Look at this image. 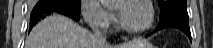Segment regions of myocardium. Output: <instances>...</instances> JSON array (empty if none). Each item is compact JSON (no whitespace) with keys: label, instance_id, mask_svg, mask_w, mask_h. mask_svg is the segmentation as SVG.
I'll return each instance as SVG.
<instances>
[{"label":"myocardium","instance_id":"f54148a6","mask_svg":"<svg viewBox=\"0 0 213 48\" xmlns=\"http://www.w3.org/2000/svg\"><path fill=\"white\" fill-rule=\"evenodd\" d=\"M124 2L143 4L144 6L147 7V9L149 11V18H148V22L146 23L145 26H143L141 28H137V29L128 28L127 26L124 25V23L121 21V19L118 18L117 23H118L120 30L124 33L131 34V35H138V34H142L146 31H148L153 26L154 19H155V10H154V7L152 6L151 2L148 0H126Z\"/></svg>","mask_w":213,"mask_h":48}]
</instances>
